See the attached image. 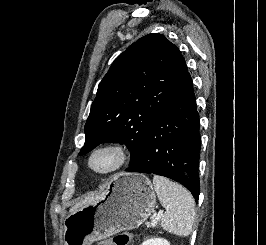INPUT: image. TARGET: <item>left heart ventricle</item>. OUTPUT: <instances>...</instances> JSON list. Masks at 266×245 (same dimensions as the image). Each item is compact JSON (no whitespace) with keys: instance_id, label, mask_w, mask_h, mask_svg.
Listing matches in <instances>:
<instances>
[{"instance_id":"b2bd125f","label":"left heart ventricle","mask_w":266,"mask_h":245,"mask_svg":"<svg viewBox=\"0 0 266 245\" xmlns=\"http://www.w3.org/2000/svg\"><path fill=\"white\" fill-rule=\"evenodd\" d=\"M117 161V155L112 150H105L98 153L92 161V165L94 168L105 171L112 168Z\"/></svg>"}]
</instances>
